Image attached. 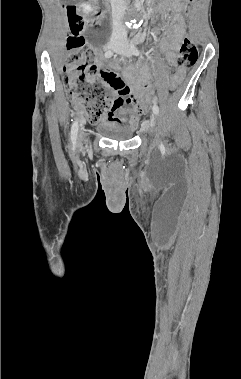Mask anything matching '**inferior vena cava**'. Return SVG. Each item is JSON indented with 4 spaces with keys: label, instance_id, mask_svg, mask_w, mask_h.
<instances>
[{
    "label": "inferior vena cava",
    "instance_id": "602c4592",
    "mask_svg": "<svg viewBox=\"0 0 241 379\" xmlns=\"http://www.w3.org/2000/svg\"><path fill=\"white\" fill-rule=\"evenodd\" d=\"M112 7V20H113V39L126 40L127 31L123 25V16L126 10L125 0H110Z\"/></svg>",
    "mask_w": 241,
    "mask_h": 379
}]
</instances>
